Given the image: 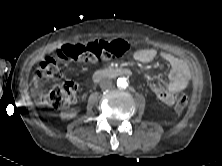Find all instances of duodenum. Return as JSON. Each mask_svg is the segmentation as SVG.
<instances>
[{
    "instance_id": "410a0bca",
    "label": "duodenum",
    "mask_w": 222,
    "mask_h": 166,
    "mask_svg": "<svg viewBox=\"0 0 222 166\" xmlns=\"http://www.w3.org/2000/svg\"><path fill=\"white\" fill-rule=\"evenodd\" d=\"M131 71L126 67H115L104 70H99L94 73L92 77L93 83H98L100 80L106 77L119 76V75H130Z\"/></svg>"
}]
</instances>
